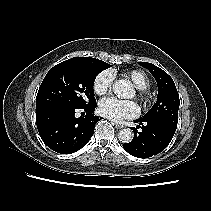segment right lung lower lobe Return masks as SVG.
<instances>
[{
  "label": "right lung lower lobe",
  "mask_w": 211,
  "mask_h": 211,
  "mask_svg": "<svg viewBox=\"0 0 211 211\" xmlns=\"http://www.w3.org/2000/svg\"><path fill=\"white\" fill-rule=\"evenodd\" d=\"M97 104L87 107L42 105L36 107V124L43 142L61 154H71L87 144L93 136L99 117L94 116ZM83 111L80 117L75 113Z\"/></svg>",
  "instance_id": "obj_1"
}]
</instances>
